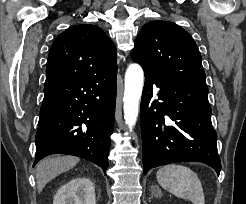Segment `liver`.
<instances>
[{"mask_svg": "<svg viewBox=\"0 0 246 204\" xmlns=\"http://www.w3.org/2000/svg\"><path fill=\"white\" fill-rule=\"evenodd\" d=\"M80 159L75 156H57L42 160L36 168L37 190L40 193L45 185L57 175L73 168Z\"/></svg>", "mask_w": 246, "mask_h": 204, "instance_id": "obj_1", "label": "liver"}]
</instances>
